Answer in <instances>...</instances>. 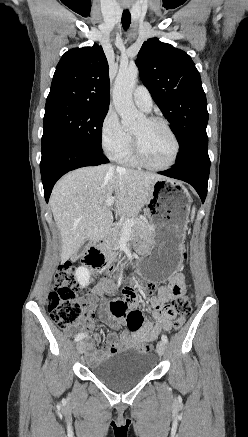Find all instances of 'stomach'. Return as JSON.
<instances>
[{"mask_svg":"<svg viewBox=\"0 0 248 437\" xmlns=\"http://www.w3.org/2000/svg\"><path fill=\"white\" fill-rule=\"evenodd\" d=\"M147 213L152 227L148 252L137 262V271H144L147 286H165L176 273L190 212L187 189L174 181L156 180L147 201Z\"/></svg>","mask_w":248,"mask_h":437,"instance_id":"1","label":"stomach"}]
</instances>
